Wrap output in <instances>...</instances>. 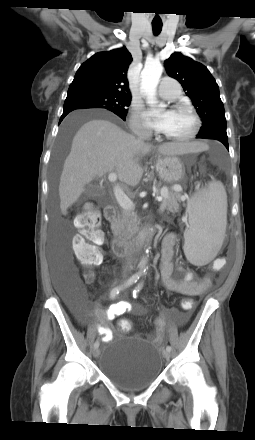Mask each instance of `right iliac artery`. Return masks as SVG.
<instances>
[{
    "instance_id": "right-iliac-artery-1",
    "label": "right iliac artery",
    "mask_w": 255,
    "mask_h": 440,
    "mask_svg": "<svg viewBox=\"0 0 255 440\" xmlns=\"http://www.w3.org/2000/svg\"><path fill=\"white\" fill-rule=\"evenodd\" d=\"M139 278H140V274H138V273L134 274L123 285H119V286L114 287L110 292V298L114 299L124 288L136 283ZM98 347H99V341L97 340L94 343V348H98Z\"/></svg>"
}]
</instances>
